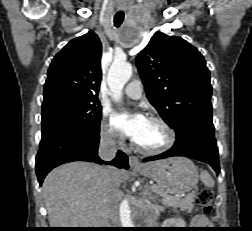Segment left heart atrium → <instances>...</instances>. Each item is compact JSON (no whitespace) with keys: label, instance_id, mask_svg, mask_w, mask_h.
<instances>
[{"label":"left heart atrium","instance_id":"39dd6f15","mask_svg":"<svg viewBox=\"0 0 252 231\" xmlns=\"http://www.w3.org/2000/svg\"><path fill=\"white\" fill-rule=\"evenodd\" d=\"M147 122L148 118L142 113L129 114L127 112H118L112 118L114 127L134 141L140 137Z\"/></svg>","mask_w":252,"mask_h":231}]
</instances>
